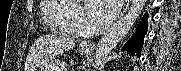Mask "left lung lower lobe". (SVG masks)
Instances as JSON below:
<instances>
[{
    "label": "left lung lower lobe",
    "instance_id": "0a47b994",
    "mask_svg": "<svg viewBox=\"0 0 181 71\" xmlns=\"http://www.w3.org/2000/svg\"><path fill=\"white\" fill-rule=\"evenodd\" d=\"M147 14L144 15L141 22L137 26L136 32L132 38L123 46V50L128 51L131 55L140 57L141 49L143 46V38L147 33Z\"/></svg>",
    "mask_w": 181,
    "mask_h": 71
}]
</instances>
